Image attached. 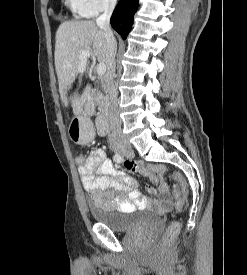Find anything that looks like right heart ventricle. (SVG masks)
Here are the masks:
<instances>
[{
	"instance_id": "obj_1",
	"label": "right heart ventricle",
	"mask_w": 247,
	"mask_h": 275,
	"mask_svg": "<svg viewBox=\"0 0 247 275\" xmlns=\"http://www.w3.org/2000/svg\"><path fill=\"white\" fill-rule=\"evenodd\" d=\"M64 3L74 14L81 17H87L81 11L78 0H64Z\"/></svg>"
}]
</instances>
